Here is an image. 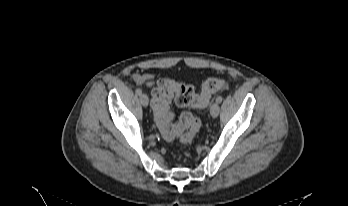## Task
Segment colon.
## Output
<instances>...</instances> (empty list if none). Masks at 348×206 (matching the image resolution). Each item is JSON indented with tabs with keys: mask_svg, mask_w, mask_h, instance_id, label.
Wrapping results in <instances>:
<instances>
[{
	"mask_svg": "<svg viewBox=\"0 0 348 206\" xmlns=\"http://www.w3.org/2000/svg\"><path fill=\"white\" fill-rule=\"evenodd\" d=\"M227 81L221 78L208 79L198 95L190 85L180 84L172 80H160L152 93V107L156 125L166 141H173L177 137L183 143H190L200 129V121L190 112H183L177 124L172 123L173 114L170 102L174 98L180 107L204 108L211 96L227 88ZM186 130V133L183 132Z\"/></svg>",
	"mask_w": 348,
	"mask_h": 206,
	"instance_id": "colon-1",
	"label": "colon"
}]
</instances>
